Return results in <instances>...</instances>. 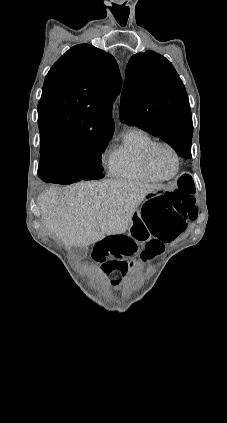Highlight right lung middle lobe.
Segmentation results:
<instances>
[{
    "label": "right lung middle lobe",
    "mask_w": 227,
    "mask_h": 423,
    "mask_svg": "<svg viewBox=\"0 0 227 423\" xmlns=\"http://www.w3.org/2000/svg\"><path fill=\"white\" fill-rule=\"evenodd\" d=\"M112 135L73 136L54 142L41 143L40 161H51L68 168L78 180L104 177L101 154Z\"/></svg>",
    "instance_id": "right-lung-middle-lobe-1"
}]
</instances>
